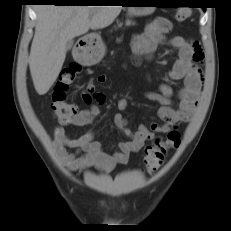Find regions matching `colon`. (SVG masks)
Instances as JSON below:
<instances>
[{"instance_id":"5ec220e1","label":"colon","mask_w":231,"mask_h":231,"mask_svg":"<svg viewBox=\"0 0 231 231\" xmlns=\"http://www.w3.org/2000/svg\"><path fill=\"white\" fill-rule=\"evenodd\" d=\"M191 15L189 8L178 10L176 19L184 21ZM81 72V66L71 63L65 67L55 85L52 94V110L55 118L62 124H67L78 113L77 107L67 102V92ZM181 142L179 132L172 130L165 139L156 137L152 143L145 148V171L149 174L156 172L164 163L168 152L176 150Z\"/></svg>"}]
</instances>
